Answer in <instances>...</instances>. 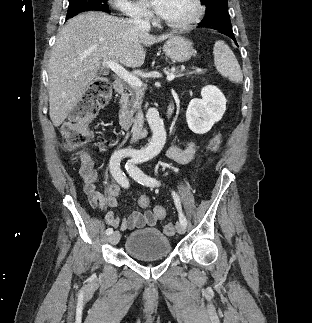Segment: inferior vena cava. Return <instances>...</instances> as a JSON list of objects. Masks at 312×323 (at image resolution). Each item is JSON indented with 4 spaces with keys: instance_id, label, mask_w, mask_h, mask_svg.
Here are the masks:
<instances>
[{
    "instance_id": "1",
    "label": "inferior vena cava",
    "mask_w": 312,
    "mask_h": 323,
    "mask_svg": "<svg viewBox=\"0 0 312 323\" xmlns=\"http://www.w3.org/2000/svg\"><path fill=\"white\" fill-rule=\"evenodd\" d=\"M132 20H127L128 24H133L135 28H138V30H150V22H147V20H144V12L143 10H136V12H133L131 14ZM143 128V114L140 110L138 112L135 120H134V126L132 128V138H131V144L133 142H138L139 136L142 132Z\"/></svg>"
}]
</instances>
